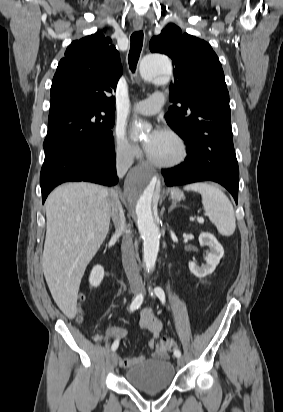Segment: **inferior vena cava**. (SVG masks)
Instances as JSON below:
<instances>
[{"instance_id": "inferior-vena-cava-1", "label": "inferior vena cava", "mask_w": 283, "mask_h": 412, "mask_svg": "<svg viewBox=\"0 0 283 412\" xmlns=\"http://www.w3.org/2000/svg\"><path fill=\"white\" fill-rule=\"evenodd\" d=\"M133 164V156L128 149L119 150L116 155V171L119 178H122L127 170ZM110 215L112 217L115 229L119 233H123L121 251H122V263L128 278L130 286L140 287L142 285V279L139 274L133 240L128 231L126 219L124 216V210L119 200V194L117 189H113L110 192L109 199Z\"/></svg>"}]
</instances>
